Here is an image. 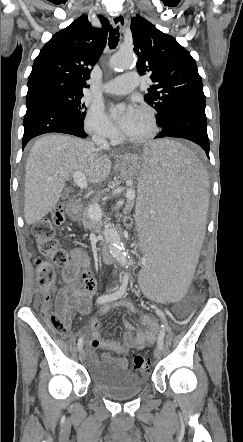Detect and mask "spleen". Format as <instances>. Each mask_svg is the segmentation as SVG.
I'll use <instances>...</instances> for the list:
<instances>
[{
  "label": "spleen",
  "mask_w": 243,
  "mask_h": 442,
  "mask_svg": "<svg viewBox=\"0 0 243 442\" xmlns=\"http://www.w3.org/2000/svg\"><path fill=\"white\" fill-rule=\"evenodd\" d=\"M136 172L138 237L151 240L137 291L151 302L179 307L192 285L197 242L205 234L206 172L192 151L170 140L145 145Z\"/></svg>",
  "instance_id": "spleen-1"
}]
</instances>
